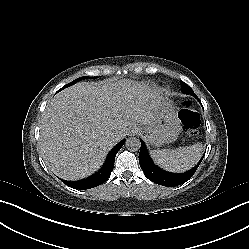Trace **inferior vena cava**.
<instances>
[{
	"mask_svg": "<svg viewBox=\"0 0 249 249\" xmlns=\"http://www.w3.org/2000/svg\"><path fill=\"white\" fill-rule=\"evenodd\" d=\"M121 139H122V135H121L120 133L117 132V133L114 134V140H115V141L118 142V141H120Z\"/></svg>",
	"mask_w": 249,
	"mask_h": 249,
	"instance_id": "inferior-vena-cava-1",
	"label": "inferior vena cava"
}]
</instances>
